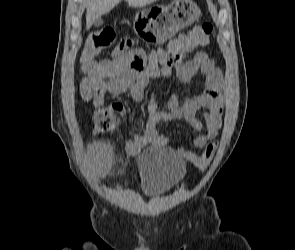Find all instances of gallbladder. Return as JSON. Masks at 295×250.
Masks as SVG:
<instances>
[{
	"instance_id": "bac80fb5",
	"label": "gallbladder",
	"mask_w": 295,
	"mask_h": 250,
	"mask_svg": "<svg viewBox=\"0 0 295 250\" xmlns=\"http://www.w3.org/2000/svg\"><path fill=\"white\" fill-rule=\"evenodd\" d=\"M93 24H94V26L99 27L103 24V20L101 19V17H99L94 21Z\"/></svg>"
}]
</instances>
